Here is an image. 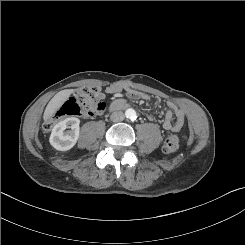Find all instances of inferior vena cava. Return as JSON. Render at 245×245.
I'll list each match as a JSON object with an SVG mask.
<instances>
[{
    "label": "inferior vena cava",
    "instance_id": "1",
    "mask_svg": "<svg viewBox=\"0 0 245 245\" xmlns=\"http://www.w3.org/2000/svg\"><path fill=\"white\" fill-rule=\"evenodd\" d=\"M125 118L124 113L121 111H115L111 114L110 119L113 122H120L123 121Z\"/></svg>",
    "mask_w": 245,
    "mask_h": 245
}]
</instances>
